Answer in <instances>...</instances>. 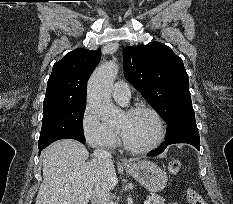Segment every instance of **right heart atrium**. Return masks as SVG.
<instances>
[{"label": "right heart atrium", "mask_w": 233, "mask_h": 204, "mask_svg": "<svg viewBox=\"0 0 233 204\" xmlns=\"http://www.w3.org/2000/svg\"><path fill=\"white\" fill-rule=\"evenodd\" d=\"M81 131L85 141L94 148L111 149L117 145V132L101 120L90 104L83 109Z\"/></svg>", "instance_id": "d8ad5b80"}]
</instances>
